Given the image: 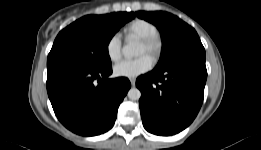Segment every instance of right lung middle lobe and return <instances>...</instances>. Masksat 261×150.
I'll use <instances>...</instances> for the list:
<instances>
[{
    "label": "right lung middle lobe",
    "mask_w": 261,
    "mask_h": 150,
    "mask_svg": "<svg viewBox=\"0 0 261 150\" xmlns=\"http://www.w3.org/2000/svg\"><path fill=\"white\" fill-rule=\"evenodd\" d=\"M133 12L88 15L64 28L56 37L47 58V69L74 66L99 70L110 67L108 44Z\"/></svg>",
    "instance_id": "1"
}]
</instances>
